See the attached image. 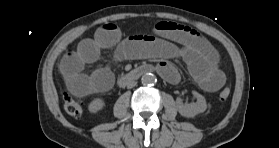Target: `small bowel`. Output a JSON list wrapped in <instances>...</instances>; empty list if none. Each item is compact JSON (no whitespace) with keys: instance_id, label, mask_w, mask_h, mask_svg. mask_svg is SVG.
I'll return each mask as SVG.
<instances>
[{"instance_id":"small-bowel-1","label":"small bowel","mask_w":279,"mask_h":148,"mask_svg":"<svg viewBox=\"0 0 279 148\" xmlns=\"http://www.w3.org/2000/svg\"><path fill=\"white\" fill-rule=\"evenodd\" d=\"M115 47L116 61L157 58V70L170 83H178L180 73L169 61L182 60L200 88L218 91L225 83L215 48L196 30L174 22L162 21L152 27V34L123 37L120 28L112 23L99 27L92 38L79 42L77 48L66 53L60 61V71L68 90L77 96L105 92L113 83V74L98 69L91 75L86 65L96 62L101 51Z\"/></svg>"}]
</instances>
